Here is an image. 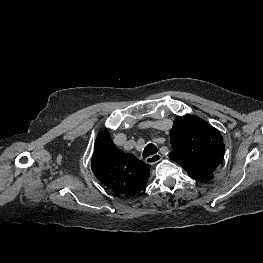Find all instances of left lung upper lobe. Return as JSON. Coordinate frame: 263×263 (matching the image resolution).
<instances>
[{
	"mask_svg": "<svg viewBox=\"0 0 263 263\" xmlns=\"http://www.w3.org/2000/svg\"><path fill=\"white\" fill-rule=\"evenodd\" d=\"M169 157L178 163L196 181L212 179L213 172L224 158L221 133L203 119L194 115L177 117L171 130Z\"/></svg>",
	"mask_w": 263,
	"mask_h": 263,
	"instance_id": "5c2ea615",
	"label": "left lung upper lobe"
}]
</instances>
